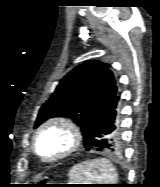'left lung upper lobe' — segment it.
I'll list each match as a JSON object with an SVG mask.
<instances>
[{"label": "left lung upper lobe", "mask_w": 160, "mask_h": 187, "mask_svg": "<svg viewBox=\"0 0 160 187\" xmlns=\"http://www.w3.org/2000/svg\"><path fill=\"white\" fill-rule=\"evenodd\" d=\"M108 67L91 60L70 71L42 105L35 127L48 118L63 116L77 123L83 136L91 131L103 109L117 95L116 82ZM110 136L120 143L117 130Z\"/></svg>", "instance_id": "1"}]
</instances>
